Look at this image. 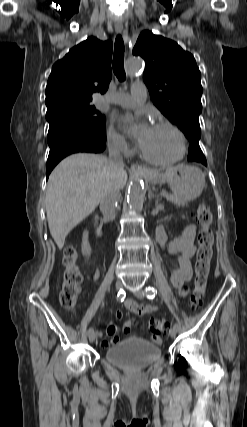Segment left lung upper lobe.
<instances>
[{
	"label": "left lung upper lobe",
	"instance_id": "obj_1",
	"mask_svg": "<svg viewBox=\"0 0 247 427\" xmlns=\"http://www.w3.org/2000/svg\"><path fill=\"white\" fill-rule=\"evenodd\" d=\"M146 63L143 80L157 108L199 144L202 111L201 74L192 54L176 42L144 31L133 49Z\"/></svg>",
	"mask_w": 247,
	"mask_h": 427
}]
</instances>
